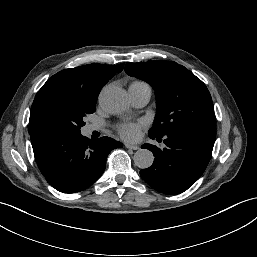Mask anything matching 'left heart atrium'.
<instances>
[{
  "instance_id": "1",
  "label": "left heart atrium",
  "mask_w": 257,
  "mask_h": 257,
  "mask_svg": "<svg viewBox=\"0 0 257 257\" xmlns=\"http://www.w3.org/2000/svg\"><path fill=\"white\" fill-rule=\"evenodd\" d=\"M141 125L134 123L122 124L118 128L120 136L128 141H134L139 137Z\"/></svg>"
}]
</instances>
